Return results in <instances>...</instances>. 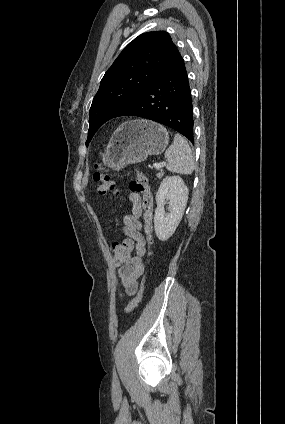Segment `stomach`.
I'll use <instances>...</instances> for the list:
<instances>
[{"instance_id": "obj_1", "label": "stomach", "mask_w": 285, "mask_h": 424, "mask_svg": "<svg viewBox=\"0 0 285 424\" xmlns=\"http://www.w3.org/2000/svg\"><path fill=\"white\" fill-rule=\"evenodd\" d=\"M168 142V131L162 125L143 119L127 121L114 132L103 162L120 170L125 165L146 160L149 155L161 154Z\"/></svg>"}]
</instances>
